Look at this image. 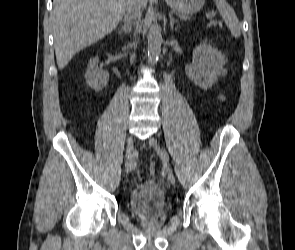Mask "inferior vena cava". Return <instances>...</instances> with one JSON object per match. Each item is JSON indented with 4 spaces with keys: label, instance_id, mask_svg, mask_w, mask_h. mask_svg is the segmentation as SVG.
Returning a JSON list of instances; mask_svg holds the SVG:
<instances>
[{
    "label": "inferior vena cava",
    "instance_id": "obj_1",
    "mask_svg": "<svg viewBox=\"0 0 295 250\" xmlns=\"http://www.w3.org/2000/svg\"><path fill=\"white\" fill-rule=\"evenodd\" d=\"M123 16L125 24L129 26L135 24L136 28L140 29V21L142 16L140 0H128ZM133 58L134 57H132V60Z\"/></svg>",
    "mask_w": 295,
    "mask_h": 250
}]
</instances>
